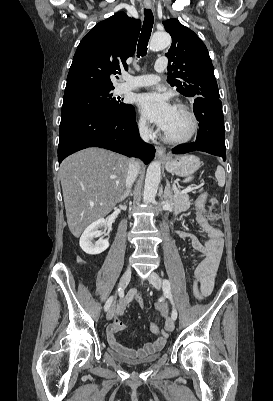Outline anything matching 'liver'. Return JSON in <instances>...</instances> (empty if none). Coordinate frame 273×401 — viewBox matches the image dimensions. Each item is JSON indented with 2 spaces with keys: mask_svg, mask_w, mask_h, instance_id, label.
Here are the masks:
<instances>
[{
  "mask_svg": "<svg viewBox=\"0 0 273 401\" xmlns=\"http://www.w3.org/2000/svg\"><path fill=\"white\" fill-rule=\"evenodd\" d=\"M129 162L127 156L105 148H84L61 162L67 223L74 237L120 203Z\"/></svg>",
  "mask_w": 273,
  "mask_h": 401,
  "instance_id": "6515ba94",
  "label": "liver"
}]
</instances>
